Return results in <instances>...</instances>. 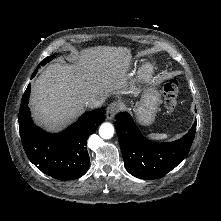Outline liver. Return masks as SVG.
Listing matches in <instances>:
<instances>
[{"mask_svg": "<svg viewBox=\"0 0 221 221\" xmlns=\"http://www.w3.org/2000/svg\"><path fill=\"white\" fill-rule=\"evenodd\" d=\"M131 62L130 50L98 46L84 49L74 63L49 65L32 85L30 107L35 121L49 131H57L83 112L86 102L118 90L136 94L124 82Z\"/></svg>", "mask_w": 221, "mask_h": 221, "instance_id": "liver-1", "label": "liver"}]
</instances>
